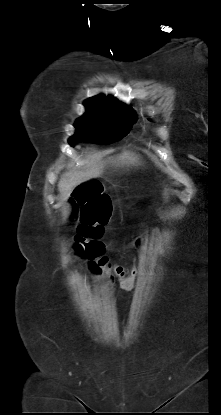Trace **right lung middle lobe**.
<instances>
[{
  "label": "right lung middle lobe",
  "instance_id": "right-lung-middle-lobe-1",
  "mask_svg": "<svg viewBox=\"0 0 221 415\" xmlns=\"http://www.w3.org/2000/svg\"><path fill=\"white\" fill-rule=\"evenodd\" d=\"M86 113L75 122L76 133L69 138L73 146L78 142L107 144L126 136L135 123L134 113L86 106Z\"/></svg>",
  "mask_w": 221,
  "mask_h": 415
}]
</instances>
